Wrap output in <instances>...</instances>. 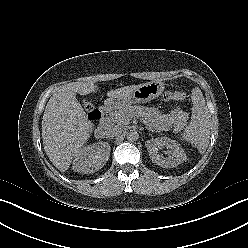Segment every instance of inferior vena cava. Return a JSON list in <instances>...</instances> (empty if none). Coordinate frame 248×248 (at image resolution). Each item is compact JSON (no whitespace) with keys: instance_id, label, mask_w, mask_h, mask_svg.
<instances>
[{"instance_id":"1","label":"inferior vena cava","mask_w":248,"mask_h":248,"mask_svg":"<svg viewBox=\"0 0 248 248\" xmlns=\"http://www.w3.org/2000/svg\"><path fill=\"white\" fill-rule=\"evenodd\" d=\"M123 131V128L121 126H117V125H112V126H108L105 130V135L107 137H116L118 135H120Z\"/></svg>"}]
</instances>
